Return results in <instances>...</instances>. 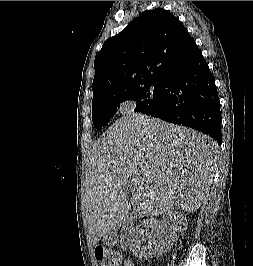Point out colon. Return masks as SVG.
<instances>
[{"mask_svg":"<svg viewBox=\"0 0 253 266\" xmlns=\"http://www.w3.org/2000/svg\"><path fill=\"white\" fill-rule=\"evenodd\" d=\"M95 258L99 266H119L120 264L119 254L105 246L96 247Z\"/></svg>","mask_w":253,"mask_h":266,"instance_id":"obj_1","label":"colon"}]
</instances>
